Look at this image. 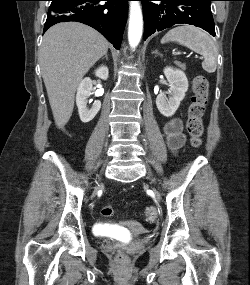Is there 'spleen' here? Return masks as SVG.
Listing matches in <instances>:
<instances>
[{
	"mask_svg": "<svg viewBox=\"0 0 250 285\" xmlns=\"http://www.w3.org/2000/svg\"><path fill=\"white\" fill-rule=\"evenodd\" d=\"M176 42L194 52L203 55L202 68L208 73H214L217 67V47L208 33L201 29L184 25L169 30L161 43Z\"/></svg>",
	"mask_w": 250,
	"mask_h": 285,
	"instance_id": "spleen-1",
	"label": "spleen"
}]
</instances>
